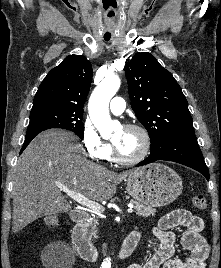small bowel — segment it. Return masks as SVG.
<instances>
[{
	"label": "small bowel",
	"instance_id": "small-bowel-1",
	"mask_svg": "<svg viewBox=\"0 0 221 268\" xmlns=\"http://www.w3.org/2000/svg\"><path fill=\"white\" fill-rule=\"evenodd\" d=\"M182 228L181 244L189 252L184 259L173 257L177 236L171 231ZM204 224L200 217L178 209L164 215L153 234L160 241L156 253L145 263H133L128 268H205L209 245L202 236Z\"/></svg>",
	"mask_w": 221,
	"mask_h": 268
}]
</instances>
